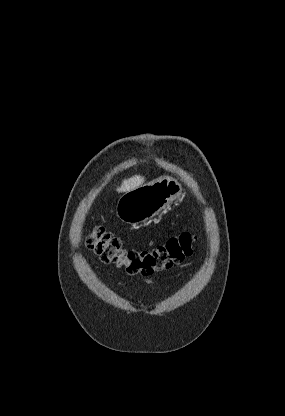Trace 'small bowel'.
Instances as JSON below:
<instances>
[{"label":"small bowel","instance_id":"obj_1","mask_svg":"<svg viewBox=\"0 0 285 416\" xmlns=\"http://www.w3.org/2000/svg\"><path fill=\"white\" fill-rule=\"evenodd\" d=\"M148 283H150V284H152L153 283V281L151 280V279H148V281H147Z\"/></svg>","mask_w":285,"mask_h":416}]
</instances>
